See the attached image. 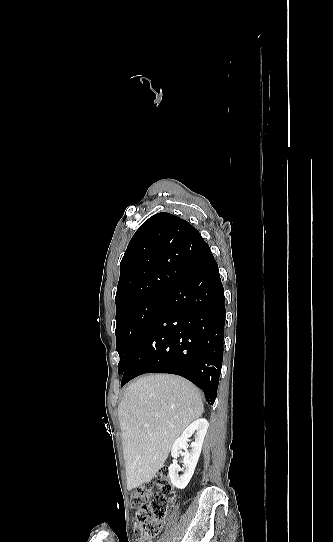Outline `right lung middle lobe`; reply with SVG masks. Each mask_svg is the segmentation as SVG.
Returning a JSON list of instances; mask_svg holds the SVG:
<instances>
[{
    "label": "right lung middle lobe",
    "instance_id": "right-lung-middle-lobe-1",
    "mask_svg": "<svg viewBox=\"0 0 333 542\" xmlns=\"http://www.w3.org/2000/svg\"><path fill=\"white\" fill-rule=\"evenodd\" d=\"M168 292L149 296L140 303L124 307L116 314V350L120 356L119 374H123L149 322L165 303Z\"/></svg>",
    "mask_w": 333,
    "mask_h": 542
}]
</instances>
